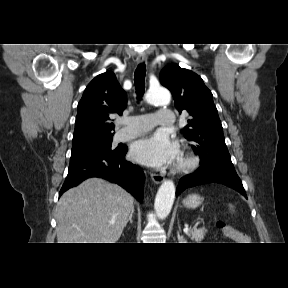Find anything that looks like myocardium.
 <instances>
[{
  "label": "myocardium",
  "mask_w": 288,
  "mask_h": 288,
  "mask_svg": "<svg viewBox=\"0 0 288 288\" xmlns=\"http://www.w3.org/2000/svg\"><path fill=\"white\" fill-rule=\"evenodd\" d=\"M196 164V160L187 154H183L179 160V167L190 168Z\"/></svg>",
  "instance_id": "obj_1"
}]
</instances>
